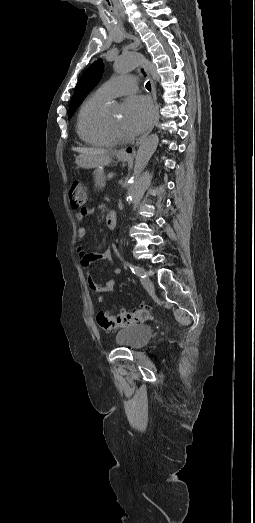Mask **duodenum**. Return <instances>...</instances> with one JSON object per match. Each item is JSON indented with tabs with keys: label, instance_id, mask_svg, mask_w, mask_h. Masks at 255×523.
I'll return each instance as SVG.
<instances>
[{
	"label": "duodenum",
	"instance_id": "1",
	"mask_svg": "<svg viewBox=\"0 0 255 523\" xmlns=\"http://www.w3.org/2000/svg\"><path fill=\"white\" fill-rule=\"evenodd\" d=\"M116 221L117 215L115 212L112 211L106 215L105 222L108 228L113 229L116 226Z\"/></svg>",
	"mask_w": 255,
	"mask_h": 523
}]
</instances>
